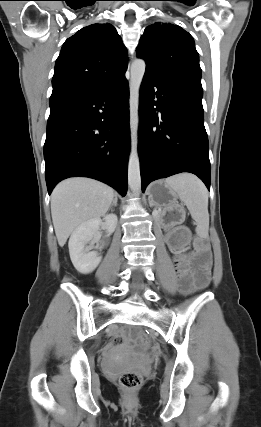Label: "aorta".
Masks as SVG:
<instances>
[{
    "instance_id": "762f6f07",
    "label": "aorta",
    "mask_w": 261,
    "mask_h": 427,
    "mask_svg": "<svg viewBox=\"0 0 261 427\" xmlns=\"http://www.w3.org/2000/svg\"><path fill=\"white\" fill-rule=\"evenodd\" d=\"M145 69L146 63L142 59H135L130 68L129 116L131 150L128 162V185L135 194L141 190L140 160L138 155L139 96Z\"/></svg>"
}]
</instances>
